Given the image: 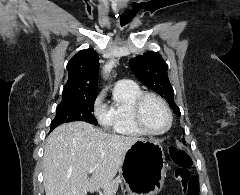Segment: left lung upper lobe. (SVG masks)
<instances>
[{
	"label": "left lung upper lobe",
	"mask_w": 240,
	"mask_h": 195,
	"mask_svg": "<svg viewBox=\"0 0 240 195\" xmlns=\"http://www.w3.org/2000/svg\"><path fill=\"white\" fill-rule=\"evenodd\" d=\"M129 65L135 76L147 87L162 96L172 110L180 116V109L174 102V91L167 75V66L156 52L132 58Z\"/></svg>",
	"instance_id": "5c2ea615"
}]
</instances>
